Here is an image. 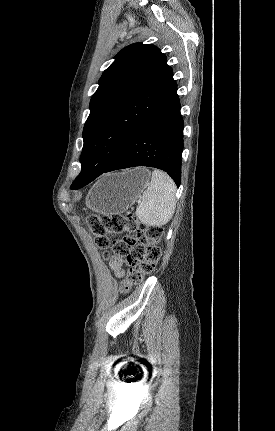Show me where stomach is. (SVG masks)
<instances>
[{
    "label": "stomach",
    "mask_w": 275,
    "mask_h": 431,
    "mask_svg": "<svg viewBox=\"0 0 275 431\" xmlns=\"http://www.w3.org/2000/svg\"><path fill=\"white\" fill-rule=\"evenodd\" d=\"M150 172L136 168L103 176L86 197V206L100 214L126 211L149 185Z\"/></svg>",
    "instance_id": "obj_1"
}]
</instances>
